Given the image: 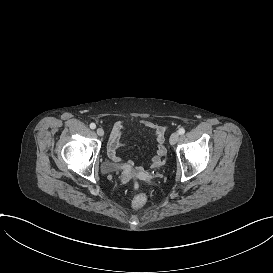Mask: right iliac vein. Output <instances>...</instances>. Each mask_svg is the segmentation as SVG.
I'll use <instances>...</instances> for the list:
<instances>
[{"mask_svg":"<svg viewBox=\"0 0 273 273\" xmlns=\"http://www.w3.org/2000/svg\"><path fill=\"white\" fill-rule=\"evenodd\" d=\"M96 133H97V135H99V136H103V135H104V130H103L102 128H98V129L96 130Z\"/></svg>","mask_w":273,"mask_h":273,"instance_id":"obj_1","label":"right iliac vein"}]
</instances>
